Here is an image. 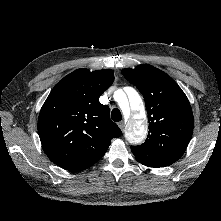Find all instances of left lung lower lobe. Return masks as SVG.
<instances>
[{
	"label": "left lung lower lobe",
	"mask_w": 221,
	"mask_h": 221,
	"mask_svg": "<svg viewBox=\"0 0 221 221\" xmlns=\"http://www.w3.org/2000/svg\"><path fill=\"white\" fill-rule=\"evenodd\" d=\"M144 165L157 168L156 166H153V165H148V164H144Z\"/></svg>",
	"instance_id": "1"
}]
</instances>
